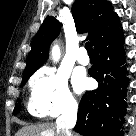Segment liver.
<instances>
[{"label": "liver", "instance_id": "liver-1", "mask_svg": "<svg viewBox=\"0 0 136 136\" xmlns=\"http://www.w3.org/2000/svg\"><path fill=\"white\" fill-rule=\"evenodd\" d=\"M61 132H56V127L53 124L44 123L30 125L21 128L16 136H61Z\"/></svg>", "mask_w": 136, "mask_h": 136}]
</instances>
